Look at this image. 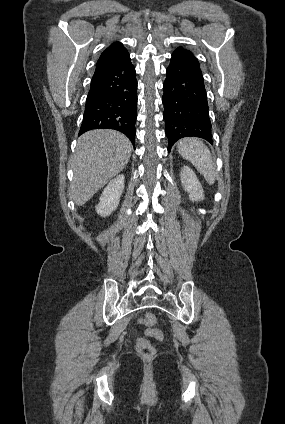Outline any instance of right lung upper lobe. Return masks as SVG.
<instances>
[{
    "instance_id": "right-lung-upper-lobe-1",
    "label": "right lung upper lobe",
    "mask_w": 285,
    "mask_h": 424,
    "mask_svg": "<svg viewBox=\"0 0 285 424\" xmlns=\"http://www.w3.org/2000/svg\"><path fill=\"white\" fill-rule=\"evenodd\" d=\"M127 58H129L127 49L121 43L114 42L103 51L97 61L96 69L119 63Z\"/></svg>"
}]
</instances>
